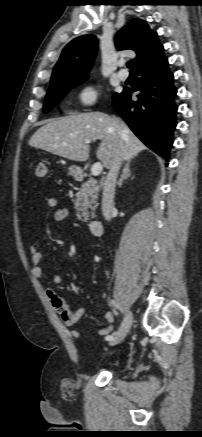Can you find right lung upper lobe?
Segmentation results:
<instances>
[{"mask_svg":"<svg viewBox=\"0 0 202 437\" xmlns=\"http://www.w3.org/2000/svg\"><path fill=\"white\" fill-rule=\"evenodd\" d=\"M118 50L131 49L137 56L135 69L153 62L163 55V46L157 33L150 30L144 20L133 19L115 37ZM98 48L94 35H83L72 40L63 50L51 77V85L72 78L87 76Z\"/></svg>","mask_w":202,"mask_h":437,"instance_id":"cb5924a9","label":"right lung upper lobe"}]
</instances>
